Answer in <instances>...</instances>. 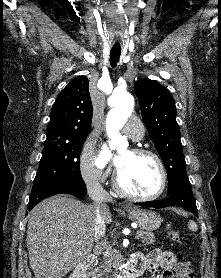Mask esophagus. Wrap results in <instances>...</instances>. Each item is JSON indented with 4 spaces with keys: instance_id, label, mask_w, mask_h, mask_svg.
<instances>
[{
    "instance_id": "1",
    "label": "esophagus",
    "mask_w": 221,
    "mask_h": 278,
    "mask_svg": "<svg viewBox=\"0 0 221 278\" xmlns=\"http://www.w3.org/2000/svg\"><path fill=\"white\" fill-rule=\"evenodd\" d=\"M120 206H121L122 208H128V206H127V205H124V204H120Z\"/></svg>"
}]
</instances>
